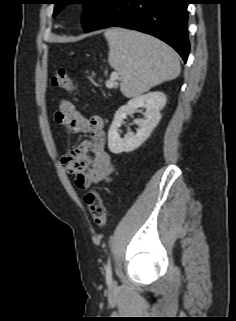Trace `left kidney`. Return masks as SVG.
<instances>
[{"mask_svg": "<svg viewBox=\"0 0 236 321\" xmlns=\"http://www.w3.org/2000/svg\"><path fill=\"white\" fill-rule=\"evenodd\" d=\"M166 105V96L163 92L155 91L137 96L121 106L115 113L114 120L108 131V148L112 153L131 152L142 145L158 125L160 111ZM138 108H145V119H136L134 123L139 126L135 135L127 134L120 138L118 130L127 115L133 114Z\"/></svg>", "mask_w": 236, "mask_h": 321, "instance_id": "1", "label": "left kidney"}]
</instances>
